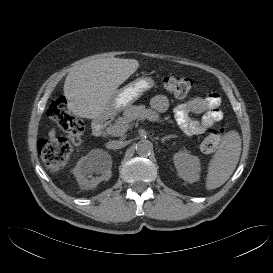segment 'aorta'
I'll use <instances>...</instances> for the list:
<instances>
[{
    "label": "aorta",
    "instance_id": "obj_1",
    "mask_svg": "<svg viewBox=\"0 0 273 273\" xmlns=\"http://www.w3.org/2000/svg\"><path fill=\"white\" fill-rule=\"evenodd\" d=\"M153 151V144L146 139L140 140L136 144V152L140 156H148Z\"/></svg>",
    "mask_w": 273,
    "mask_h": 273
}]
</instances>
